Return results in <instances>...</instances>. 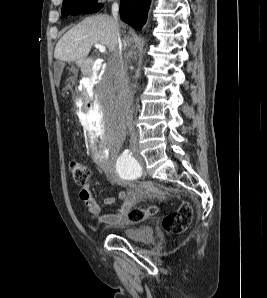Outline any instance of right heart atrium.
I'll return each instance as SVG.
<instances>
[{
    "instance_id": "1",
    "label": "right heart atrium",
    "mask_w": 267,
    "mask_h": 298,
    "mask_svg": "<svg viewBox=\"0 0 267 298\" xmlns=\"http://www.w3.org/2000/svg\"><path fill=\"white\" fill-rule=\"evenodd\" d=\"M107 0H97V3L98 4H103V3H105Z\"/></svg>"
}]
</instances>
